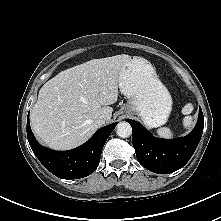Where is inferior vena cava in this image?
Here are the masks:
<instances>
[{
	"mask_svg": "<svg viewBox=\"0 0 221 221\" xmlns=\"http://www.w3.org/2000/svg\"><path fill=\"white\" fill-rule=\"evenodd\" d=\"M97 123L100 124V125H103L105 123V116L100 115L97 119Z\"/></svg>",
	"mask_w": 221,
	"mask_h": 221,
	"instance_id": "1",
	"label": "inferior vena cava"
}]
</instances>
